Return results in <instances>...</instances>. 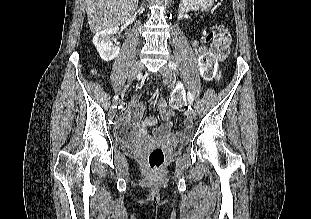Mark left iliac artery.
Here are the masks:
<instances>
[{
  "mask_svg": "<svg viewBox=\"0 0 311 219\" xmlns=\"http://www.w3.org/2000/svg\"><path fill=\"white\" fill-rule=\"evenodd\" d=\"M169 67H170L172 70H174V71L177 70V65H176V63L173 62V61H170V62H169ZM187 98H188L189 104H193L194 96H193V94H192L190 91H189L188 94H187Z\"/></svg>",
  "mask_w": 311,
  "mask_h": 219,
  "instance_id": "44dca946",
  "label": "left iliac artery"
}]
</instances>
